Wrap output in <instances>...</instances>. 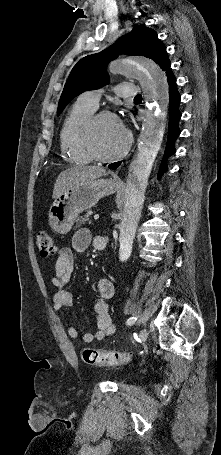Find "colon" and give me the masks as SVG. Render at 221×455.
I'll use <instances>...</instances> for the list:
<instances>
[{"instance_id": "colon-1", "label": "colon", "mask_w": 221, "mask_h": 455, "mask_svg": "<svg viewBox=\"0 0 221 455\" xmlns=\"http://www.w3.org/2000/svg\"><path fill=\"white\" fill-rule=\"evenodd\" d=\"M37 250L42 257H49L55 252L53 238L45 231L38 233ZM81 355L85 363L94 366H118L131 360L130 355L127 353L91 348H84Z\"/></svg>"}]
</instances>
